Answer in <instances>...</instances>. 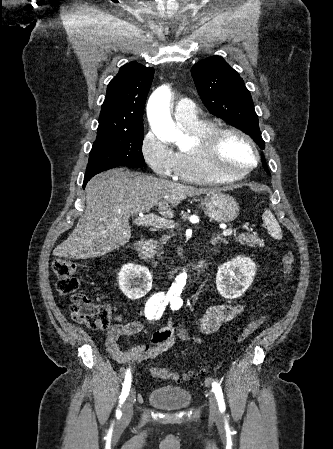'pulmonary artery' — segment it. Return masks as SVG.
Returning a JSON list of instances; mask_svg holds the SVG:
<instances>
[{"label":"pulmonary artery","instance_id":"e3ab8cb5","mask_svg":"<svg viewBox=\"0 0 333 449\" xmlns=\"http://www.w3.org/2000/svg\"><path fill=\"white\" fill-rule=\"evenodd\" d=\"M174 118L180 125H194L199 122L195 104L187 98L181 99L174 111Z\"/></svg>","mask_w":333,"mask_h":449}]
</instances>
